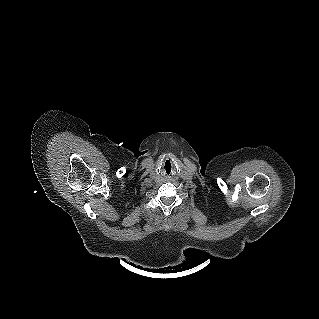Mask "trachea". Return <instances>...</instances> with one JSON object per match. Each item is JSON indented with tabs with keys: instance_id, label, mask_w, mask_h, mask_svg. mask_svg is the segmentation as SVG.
<instances>
[{
	"instance_id": "1",
	"label": "trachea",
	"mask_w": 319,
	"mask_h": 319,
	"mask_svg": "<svg viewBox=\"0 0 319 319\" xmlns=\"http://www.w3.org/2000/svg\"><path fill=\"white\" fill-rule=\"evenodd\" d=\"M164 171L167 173V174H170L172 169H173V166L172 164L169 162V161H166V163L164 164Z\"/></svg>"
}]
</instances>
